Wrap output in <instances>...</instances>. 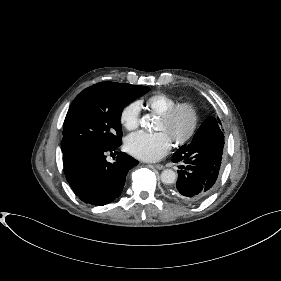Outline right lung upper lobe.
<instances>
[{"instance_id": "cb5924a9", "label": "right lung upper lobe", "mask_w": 281, "mask_h": 281, "mask_svg": "<svg viewBox=\"0 0 281 281\" xmlns=\"http://www.w3.org/2000/svg\"><path fill=\"white\" fill-rule=\"evenodd\" d=\"M106 83H111V84H115V85H124L122 83H114V82H106Z\"/></svg>"}]
</instances>
